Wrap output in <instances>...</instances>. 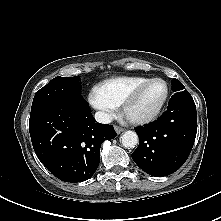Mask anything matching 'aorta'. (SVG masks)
Returning <instances> with one entry per match:
<instances>
[{
	"mask_svg": "<svg viewBox=\"0 0 221 221\" xmlns=\"http://www.w3.org/2000/svg\"><path fill=\"white\" fill-rule=\"evenodd\" d=\"M121 142L125 148H134L138 144V135L134 131H126L121 136Z\"/></svg>",
	"mask_w": 221,
	"mask_h": 221,
	"instance_id": "aorta-1",
	"label": "aorta"
}]
</instances>
